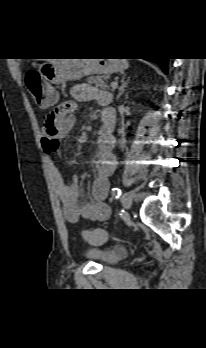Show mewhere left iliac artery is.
Instances as JSON below:
<instances>
[{"label": "left iliac artery", "instance_id": "44dca946", "mask_svg": "<svg viewBox=\"0 0 206 348\" xmlns=\"http://www.w3.org/2000/svg\"><path fill=\"white\" fill-rule=\"evenodd\" d=\"M115 195L121 196V189L120 188L115 187L112 189V197H114Z\"/></svg>", "mask_w": 206, "mask_h": 348}]
</instances>
